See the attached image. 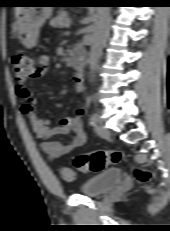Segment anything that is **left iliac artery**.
I'll list each match as a JSON object with an SVG mask.
<instances>
[{
    "instance_id": "obj_1",
    "label": "left iliac artery",
    "mask_w": 170,
    "mask_h": 231,
    "mask_svg": "<svg viewBox=\"0 0 170 231\" xmlns=\"http://www.w3.org/2000/svg\"><path fill=\"white\" fill-rule=\"evenodd\" d=\"M97 120H98V116L96 114H93L90 118V121H89L90 125L94 126L96 124Z\"/></svg>"
}]
</instances>
